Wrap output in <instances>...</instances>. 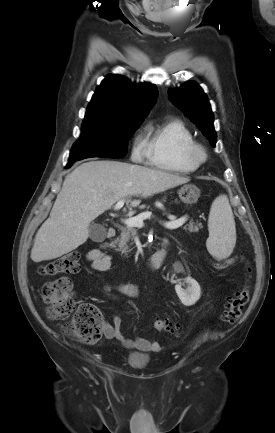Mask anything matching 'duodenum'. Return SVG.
I'll use <instances>...</instances> for the list:
<instances>
[{
  "instance_id": "duodenum-1",
  "label": "duodenum",
  "mask_w": 275,
  "mask_h": 433,
  "mask_svg": "<svg viewBox=\"0 0 275 433\" xmlns=\"http://www.w3.org/2000/svg\"><path fill=\"white\" fill-rule=\"evenodd\" d=\"M116 235V229L114 227H110L107 230V236L113 238ZM167 255V244H164L163 249L157 251L153 255H151L146 261V266L151 270H157L162 267L165 261V257Z\"/></svg>"
}]
</instances>
